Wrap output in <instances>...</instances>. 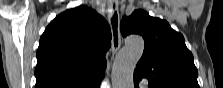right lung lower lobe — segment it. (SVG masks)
I'll list each match as a JSON object with an SVG mask.
<instances>
[{"label": "right lung lower lobe", "instance_id": "98d812e1", "mask_svg": "<svg viewBox=\"0 0 223 88\" xmlns=\"http://www.w3.org/2000/svg\"><path fill=\"white\" fill-rule=\"evenodd\" d=\"M101 79L98 80L91 88H99Z\"/></svg>", "mask_w": 223, "mask_h": 88}]
</instances>
